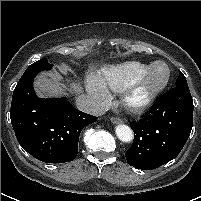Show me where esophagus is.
Here are the masks:
<instances>
[{
    "label": "esophagus",
    "mask_w": 201,
    "mask_h": 201,
    "mask_svg": "<svg viewBox=\"0 0 201 201\" xmlns=\"http://www.w3.org/2000/svg\"><path fill=\"white\" fill-rule=\"evenodd\" d=\"M110 120L113 124H119L122 122V120L119 117H112Z\"/></svg>",
    "instance_id": "34e87169"
}]
</instances>
